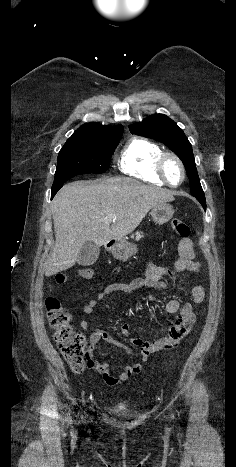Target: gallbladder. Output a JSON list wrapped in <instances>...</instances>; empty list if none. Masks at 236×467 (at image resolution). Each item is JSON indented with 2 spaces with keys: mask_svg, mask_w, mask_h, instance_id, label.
I'll return each mask as SVG.
<instances>
[{
  "mask_svg": "<svg viewBox=\"0 0 236 467\" xmlns=\"http://www.w3.org/2000/svg\"><path fill=\"white\" fill-rule=\"evenodd\" d=\"M99 253V246L94 242L87 241L79 251L77 263L81 266H91L97 261Z\"/></svg>",
  "mask_w": 236,
  "mask_h": 467,
  "instance_id": "bac80fb5",
  "label": "gallbladder"
}]
</instances>
